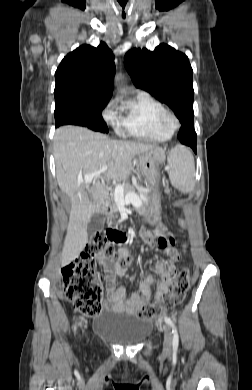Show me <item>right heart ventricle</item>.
I'll return each mask as SVG.
<instances>
[{
    "label": "right heart ventricle",
    "mask_w": 252,
    "mask_h": 390,
    "mask_svg": "<svg viewBox=\"0 0 252 390\" xmlns=\"http://www.w3.org/2000/svg\"><path fill=\"white\" fill-rule=\"evenodd\" d=\"M164 106L148 95H138L122 108L118 134L145 142H164L171 138L172 132L161 127L158 121Z\"/></svg>",
    "instance_id": "right-heart-ventricle-1"
}]
</instances>
